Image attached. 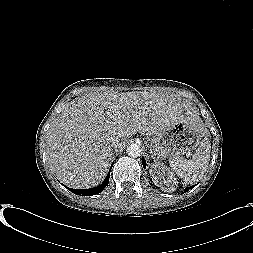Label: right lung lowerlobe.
I'll use <instances>...</instances> for the list:
<instances>
[{"mask_svg":"<svg viewBox=\"0 0 253 253\" xmlns=\"http://www.w3.org/2000/svg\"><path fill=\"white\" fill-rule=\"evenodd\" d=\"M109 176H110V172H109L108 176L105 178L104 182L101 185H99L98 187L91 188V189H72V188H69V190L72 191L75 194L82 195V196H90V195L98 194L101 191H103V189L108 185Z\"/></svg>","mask_w":253,"mask_h":253,"instance_id":"1","label":"right lung lower lobe"}]
</instances>
